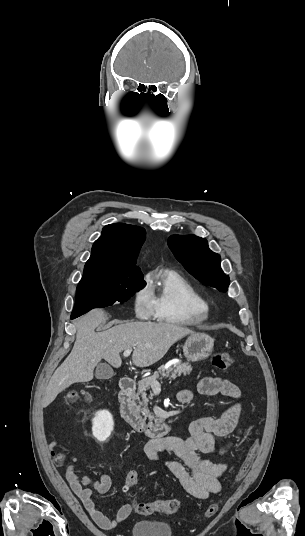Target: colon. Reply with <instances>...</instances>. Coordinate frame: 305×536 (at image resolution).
I'll return each instance as SVG.
<instances>
[{
    "instance_id": "colon-1",
    "label": "colon",
    "mask_w": 305,
    "mask_h": 536,
    "mask_svg": "<svg viewBox=\"0 0 305 536\" xmlns=\"http://www.w3.org/2000/svg\"><path fill=\"white\" fill-rule=\"evenodd\" d=\"M212 362L217 369L227 370L233 365L234 359L226 353H215L212 357ZM81 394L85 395V392H81ZM77 396H78V393L70 392L67 395V398L69 400H73ZM257 447H258V442L255 441L251 445L250 449L248 450L244 461L242 462L240 468L238 469L235 475V479L237 481L242 479L250 470L254 457L256 455ZM133 474H136V471H133ZM135 483H136L135 478L132 475H129L126 479V484L128 486H133L135 485ZM132 506H133L134 511L139 514L149 515V514H154V513H161L165 515H172L176 513V511L178 510L179 502L176 499H162V498L154 499V500L147 501V502L134 500ZM218 509H219V504L217 502L212 503L206 509L204 516L212 517L218 512Z\"/></svg>"
}]
</instances>
